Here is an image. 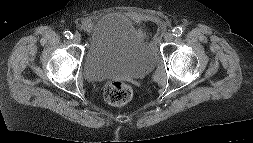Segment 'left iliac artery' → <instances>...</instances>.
<instances>
[{"instance_id":"1","label":"left iliac artery","mask_w":253,"mask_h":143,"mask_svg":"<svg viewBox=\"0 0 253 143\" xmlns=\"http://www.w3.org/2000/svg\"><path fill=\"white\" fill-rule=\"evenodd\" d=\"M183 31L184 27H175L172 32L174 36L179 37L183 34Z\"/></svg>"}]
</instances>
